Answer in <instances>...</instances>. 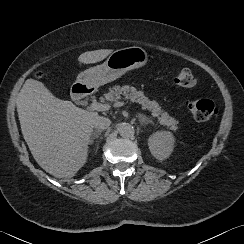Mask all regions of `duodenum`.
<instances>
[{
  "label": "duodenum",
  "instance_id": "410a0bca",
  "mask_svg": "<svg viewBox=\"0 0 244 244\" xmlns=\"http://www.w3.org/2000/svg\"><path fill=\"white\" fill-rule=\"evenodd\" d=\"M91 90L88 86L83 84H76L72 89V96L76 101H86L89 98V92Z\"/></svg>",
  "mask_w": 244,
  "mask_h": 244
}]
</instances>
